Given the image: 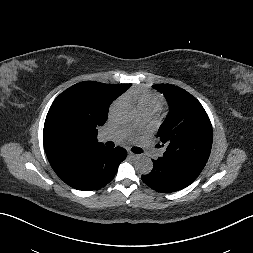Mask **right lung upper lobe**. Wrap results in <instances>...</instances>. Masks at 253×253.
<instances>
[{"mask_svg":"<svg viewBox=\"0 0 253 253\" xmlns=\"http://www.w3.org/2000/svg\"><path fill=\"white\" fill-rule=\"evenodd\" d=\"M130 86L131 84H104L93 81H84L66 89L56 99H59L63 96H77L82 99L101 96L115 100L127 89H129ZM47 118L48 114L46 119ZM96 137L97 136L88 135L74 138L58 137L48 128L47 120H45L43 142L49 161L70 153H74L78 150L104 146L103 144H98Z\"/></svg>","mask_w":253,"mask_h":253,"instance_id":"1","label":"right lung upper lobe"}]
</instances>
